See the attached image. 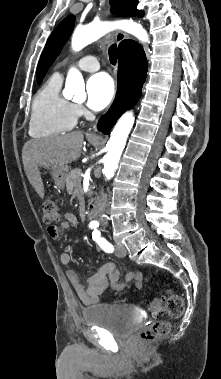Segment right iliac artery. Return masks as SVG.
I'll return each mask as SVG.
<instances>
[{"instance_id":"right-iliac-artery-1","label":"right iliac artery","mask_w":221,"mask_h":379,"mask_svg":"<svg viewBox=\"0 0 221 379\" xmlns=\"http://www.w3.org/2000/svg\"><path fill=\"white\" fill-rule=\"evenodd\" d=\"M89 227H90L91 229H96L97 225L94 224V223H90Z\"/></svg>"}]
</instances>
